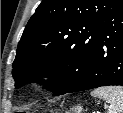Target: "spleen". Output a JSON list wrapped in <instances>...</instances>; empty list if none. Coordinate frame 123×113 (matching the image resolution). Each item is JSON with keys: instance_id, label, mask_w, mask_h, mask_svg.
Wrapping results in <instances>:
<instances>
[{"instance_id": "obj_1", "label": "spleen", "mask_w": 123, "mask_h": 113, "mask_svg": "<svg viewBox=\"0 0 123 113\" xmlns=\"http://www.w3.org/2000/svg\"><path fill=\"white\" fill-rule=\"evenodd\" d=\"M91 95L103 99L109 104L108 113H123V87H100L93 90Z\"/></svg>"}]
</instances>
